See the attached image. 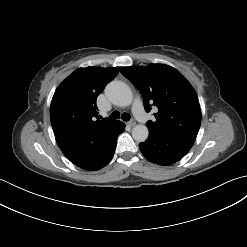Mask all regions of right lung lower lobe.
Segmentation results:
<instances>
[{
  "instance_id": "obj_1",
  "label": "right lung lower lobe",
  "mask_w": 247,
  "mask_h": 247,
  "mask_svg": "<svg viewBox=\"0 0 247 247\" xmlns=\"http://www.w3.org/2000/svg\"><path fill=\"white\" fill-rule=\"evenodd\" d=\"M124 129L125 125L116 121L112 126L97 133L92 138L85 154L72 163L88 171L103 168L111 161L117 145V138Z\"/></svg>"
}]
</instances>
